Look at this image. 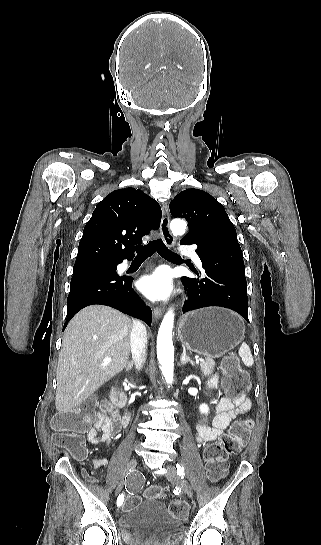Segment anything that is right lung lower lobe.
<instances>
[{
	"instance_id": "98d812e1",
	"label": "right lung lower lobe",
	"mask_w": 321,
	"mask_h": 545,
	"mask_svg": "<svg viewBox=\"0 0 321 545\" xmlns=\"http://www.w3.org/2000/svg\"><path fill=\"white\" fill-rule=\"evenodd\" d=\"M133 278L118 275L116 268L85 266L74 268L67 298V320L82 308L101 304L143 320L151 326L152 311L132 289Z\"/></svg>"
}]
</instances>
